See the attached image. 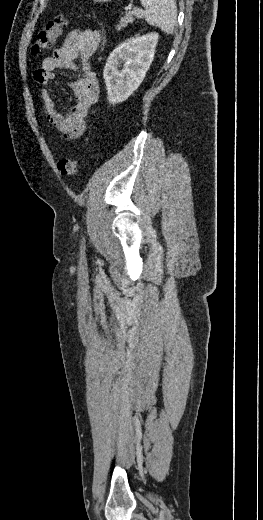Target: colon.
I'll return each mask as SVG.
<instances>
[{
  "label": "colon",
  "instance_id": "1",
  "mask_svg": "<svg viewBox=\"0 0 263 520\" xmlns=\"http://www.w3.org/2000/svg\"><path fill=\"white\" fill-rule=\"evenodd\" d=\"M67 22L68 20L63 14L57 15L54 19L49 21L38 33L32 46V53L38 55L50 49L67 25ZM80 164L79 160L61 159L58 161L57 167L62 176L69 177L77 174Z\"/></svg>",
  "mask_w": 263,
  "mask_h": 520
}]
</instances>
